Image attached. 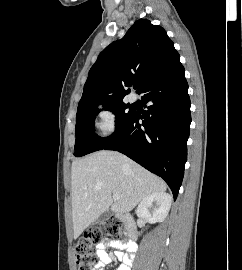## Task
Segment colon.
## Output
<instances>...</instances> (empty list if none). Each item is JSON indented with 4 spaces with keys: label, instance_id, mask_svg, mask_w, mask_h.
Wrapping results in <instances>:
<instances>
[{
    "label": "colon",
    "instance_id": "colon-1",
    "mask_svg": "<svg viewBox=\"0 0 242 270\" xmlns=\"http://www.w3.org/2000/svg\"><path fill=\"white\" fill-rule=\"evenodd\" d=\"M125 228L124 222L111 218L82 235L74 245L77 270H93L96 263L95 246L105 238L122 237Z\"/></svg>",
    "mask_w": 242,
    "mask_h": 270
}]
</instances>
